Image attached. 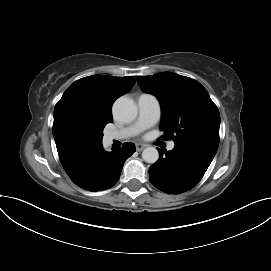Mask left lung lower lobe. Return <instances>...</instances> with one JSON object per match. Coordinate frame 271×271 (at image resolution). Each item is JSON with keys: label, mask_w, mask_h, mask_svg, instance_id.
I'll return each instance as SVG.
<instances>
[{"label": "left lung lower lobe", "mask_w": 271, "mask_h": 271, "mask_svg": "<svg viewBox=\"0 0 271 271\" xmlns=\"http://www.w3.org/2000/svg\"><path fill=\"white\" fill-rule=\"evenodd\" d=\"M160 158L149 169L150 182L168 194H179L193 188L203 177L217 148L182 140L171 151L158 149Z\"/></svg>", "instance_id": "obj_1"}]
</instances>
